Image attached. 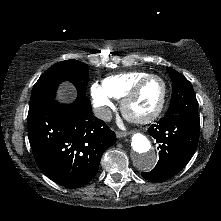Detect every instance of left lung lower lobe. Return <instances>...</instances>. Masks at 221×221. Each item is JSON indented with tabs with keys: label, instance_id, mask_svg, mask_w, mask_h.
Wrapping results in <instances>:
<instances>
[{
	"label": "left lung lower lobe",
	"instance_id": "obj_1",
	"mask_svg": "<svg viewBox=\"0 0 221 221\" xmlns=\"http://www.w3.org/2000/svg\"><path fill=\"white\" fill-rule=\"evenodd\" d=\"M200 123L186 115L164 117L148 128L160 149L156 167L142 173L145 179L165 181L180 172L197 148Z\"/></svg>",
	"mask_w": 221,
	"mask_h": 221
}]
</instances>
